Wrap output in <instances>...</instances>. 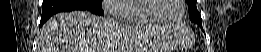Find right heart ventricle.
I'll list each match as a JSON object with an SVG mask.
<instances>
[{
	"instance_id": "e07e8e85",
	"label": "right heart ventricle",
	"mask_w": 261,
	"mask_h": 52,
	"mask_svg": "<svg viewBox=\"0 0 261 52\" xmlns=\"http://www.w3.org/2000/svg\"><path fill=\"white\" fill-rule=\"evenodd\" d=\"M146 0H132L126 1L124 4L119 6V9L126 14L124 19L125 24H149L154 23L146 11L142 9Z\"/></svg>"
}]
</instances>
